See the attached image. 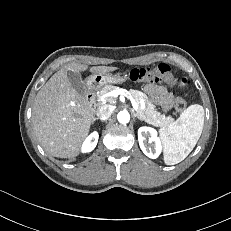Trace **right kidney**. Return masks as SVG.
Listing matches in <instances>:
<instances>
[{
	"label": "right kidney",
	"instance_id": "obj_1",
	"mask_svg": "<svg viewBox=\"0 0 231 231\" xmlns=\"http://www.w3.org/2000/svg\"><path fill=\"white\" fill-rule=\"evenodd\" d=\"M98 132L94 131L92 132L83 142L81 151L83 153L91 152L97 145L98 142Z\"/></svg>",
	"mask_w": 231,
	"mask_h": 231
}]
</instances>
